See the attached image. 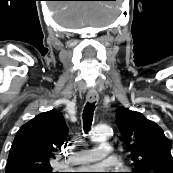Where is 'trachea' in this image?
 Segmentation results:
<instances>
[{"mask_svg":"<svg viewBox=\"0 0 173 173\" xmlns=\"http://www.w3.org/2000/svg\"><path fill=\"white\" fill-rule=\"evenodd\" d=\"M94 108H95V103H87L83 110L82 119H83V128L85 132H88L91 128Z\"/></svg>","mask_w":173,"mask_h":173,"instance_id":"1","label":"trachea"}]
</instances>
